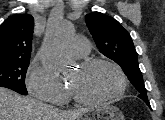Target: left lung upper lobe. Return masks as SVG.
I'll return each instance as SVG.
<instances>
[{
	"instance_id": "5c2ea615",
	"label": "left lung upper lobe",
	"mask_w": 165,
	"mask_h": 120,
	"mask_svg": "<svg viewBox=\"0 0 165 120\" xmlns=\"http://www.w3.org/2000/svg\"><path fill=\"white\" fill-rule=\"evenodd\" d=\"M85 21L99 51L121 66L140 92L138 97L150 106L130 34L113 17L100 12L87 14Z\"/></svg>"
}]
</instances>
